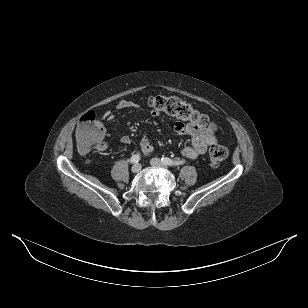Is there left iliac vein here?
Listing matches in <instances>:
<instances>
[{
	"mask_svg": "<svg viewBox=\"0 0 308 308\" xmlns=\"http://www.w3.org/2000/svg\"><path fill=\"white\" fill-rule=\"evenodd\" d=\"M150 164H151L152 166L160 167V168H163V169H167V168H168V167H167L165 164H163V163L161 162V160L158 159V158H152V159L150 160Z\"/></svg>",
	"mask_w": 308,
	"mask_h": 308,
	"instance_id": "1",
	"label": "left iliac vein"
}]
</instances>
